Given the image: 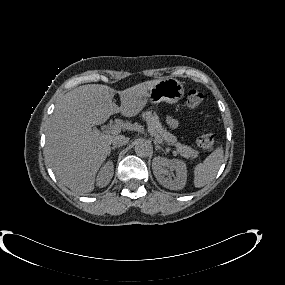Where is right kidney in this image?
I'll return each instance as SVG.
<instances>
[{"label": "right kidney", "mask_w": 285, "mask_h": 285, "mask_svg": "<svg viewBox=\"0 0 285 285\" xmlns=\"http://www.w3.org/2000/svg\"><path fill=\"white\" fill-rule=\"evenodd\" d=\"M114 174V166L111 161H108L99 171L97 176V185L105 187L109 184Z\"/></svg>", "instance_id": "right-kidney-1"}]
</instances>
